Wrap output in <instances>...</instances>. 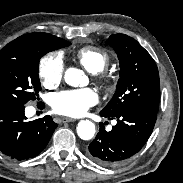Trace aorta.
<instances>
[{
    "label": "aorta",
    "mask_w": 183,
    "mask_h": 183,
    "mask_svg": "<svg viewBox=\"0 0 183 183\" xmlns=\"http://www.w3.org/2000/svg\"><path fill=\"white\" fill-rule=\"evenodd\" d=\"M65 82L72 87H83L88 84V77L77 68H68L64 74ZM77 134L83 140H90L95 135V125L89 120H81L77 125Z\"/></svg>",
    "instance_id": "aorta-1"
}]
</instances>
